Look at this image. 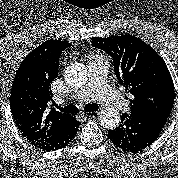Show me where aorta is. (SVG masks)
I'll use <instances>...</instances> for the list:
<instances>
[{
  "label": "aorta",
  "mask_w": 178,
  "mask_h": 178,
  "mask_svg": "<svg viewBox=\"0 0 178 178\" xmlns=\"http://www.w3.org/2000/svg\"><path fill=\"white\" fill-rule=\"evenodd\" d=\"M88 72L86 67L80 63L71 64L65 71V80L69 86L80 88L86 84ZM100 124L107 129H115L119 126L120 115L112 107H107L100 112Z\"/></svg>",
  "instance_id": "1"
}]
</instances>
